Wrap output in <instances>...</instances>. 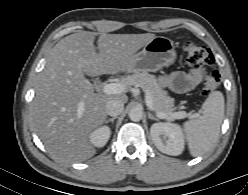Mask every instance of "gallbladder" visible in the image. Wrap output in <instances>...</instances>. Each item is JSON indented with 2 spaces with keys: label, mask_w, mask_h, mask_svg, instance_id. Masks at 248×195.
I'll list each match as a JSON object with an SVG mask.
<instances>
[{
  "label": "gallbladder",
  "mask_w": 248,
  "mask_h": 195,
  "mask_svg": "<svg viewBox=\"0 0 248 195\" xmlns=\"http://www.w3.org/2000/svg\"><path fill=\"white\" fill-rule=\"evenodd\" d=\"M93 81H94V83H99L100 82L99 78H95Z\"/></svg>",
  "instance_id": "gallbladder-1"
}]
</instances>
